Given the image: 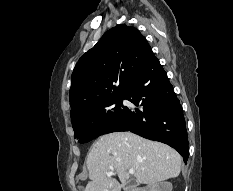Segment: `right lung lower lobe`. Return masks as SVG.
<instances>
[{
	"label": "right lung lower lobe",
	"instance_id": "98d812e1",
	"mask_svg": "<svg viewBox=\"0 0 233 191\" xmlns=\"http://www.w3.org/2000/svg\"><path fill=\"white\" fill-rule=\"evenodd\" d=\"M126 98L135 105H141L143 111L127 109L104 134L130 131L163 142L175 148L186 163L189 151L182 106L167 73L154 55L140 77L128 89Z\"/></svg>",
	"mask_w": 233,
	"mask_h": 191
}]
</instances>
